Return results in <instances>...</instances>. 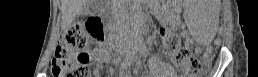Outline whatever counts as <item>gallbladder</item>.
I'll use <instances>...</instances> for the list:
<instances>
[{"mask_svg":"<svg viewBox=\"0 0 258 77\" xmlns=\"http://www.w3.org/2000/svg\"><path fill=\"white\" fill-rule=\"evenodd\" d=\"M96 3H90L89 6H88V10L91 12V13H94V12H97V10L94 8Z\"/></svg>","mask_w":258,"mask_h":77,"instance_id":"obj_1","label":"gallbladder"}]
</instances>
